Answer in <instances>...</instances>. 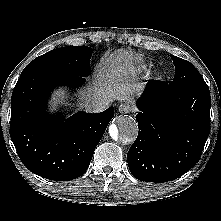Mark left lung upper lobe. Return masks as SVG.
Returning <instances> with one entry per match:
<instances>
[{"mask_svg":"<svg viewBox=\"0 0 221 221\" xmlns=\"http://www.w3.org/2000/svg\"><path fill=\"white\" fill-rule=\"evenodd\" d=\"M175 65V76L168 84L171 88H181L186 86L206 84L201 74L188 61L177 56L170 55Z\"/></svg>","mask_w":221,"mask_h":221,"instance_id":"left-lung-upper-lobe-1","label":"left lung upper lobe"}]
</instances>
